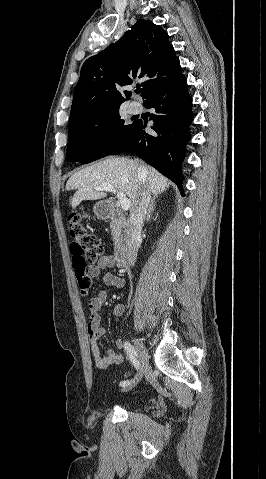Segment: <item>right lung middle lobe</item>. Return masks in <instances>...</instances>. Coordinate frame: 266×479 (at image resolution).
I'll return each instance as SVG.
<instances>
[{"label": "right lung middle lobe", "mask_w": 266, "mask_h": 479, "mask_svg": "<svg viewBox=\"0 0 266 479\" xmlns=\"http://www.w3.org/2000/svg\"><path fill=\"white\" fill-rule=\"evenodd\" d=\"M132 126L125 125L119 108L70 121L67 159L90 163L108 156L124 140Z\"/></svg>", "instance_id": "dd1d6c3e"}]
</instances>
